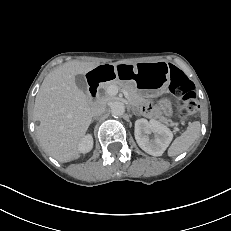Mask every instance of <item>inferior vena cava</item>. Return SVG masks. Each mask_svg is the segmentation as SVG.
<instances>
[{
	"label": "inferior vena cava",
	"instance_id": "602c4592",
	"mask_svg": "<svg viewBox=\"0 0 231 231\" xmlns=\"http://www.w3.org/2000/svg\"><path fill=\"white\" fill-rule=\"evenodd\" d=\"M106 109V104L104 101H96L93 105H92V110H91V114L93 117H97L100 116L101 114H103L105 112Z\"/></svg>",
	"mask_w": 231,
	"mask_h": 231
}]
</instances>
